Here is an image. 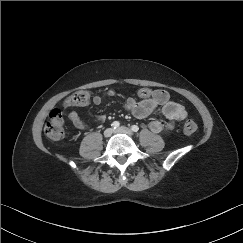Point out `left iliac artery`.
<instances>
[{
	"label": "left iliac artery",
	"instance_id": "44dca946",
	"mask_svg": "<svg viewBox=\"0 0 243 243\" xmlns=\"http://www.w3.org/2000/svg\"><path fill=\"white\" fill-rule=\"evenodd\" d=\"M131 130L134 131V132H137L139 130V127L137 125H133L131 127Z\"/></svg>",
	"mask_w": 243,
	"mask_h": 243
}]
</instances>
